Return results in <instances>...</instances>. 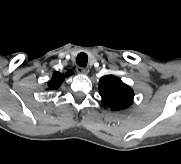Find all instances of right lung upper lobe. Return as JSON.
I'll use <instances>...</instances> for the list:
<instances>
[{"mask_svg":"<svg viewBox=\"0 0 181 164\" xmlns=\"http://www.w3.org/2000/svg\"><path fill=\"white\" fill-rule=\"evenodd\" d=\"M72 74H74V72L71 71V70H69L65 74H61L59 72H55L53 74V76H52L51 81H49V83H48L49 89H53V90L57 89L62 84V82L64 81V78L65 77H69Z\"/></svg>","mask_w":181,"mask_h":164,"instance_id":"1","label":"right lung upper lobe"}]
</instances>
